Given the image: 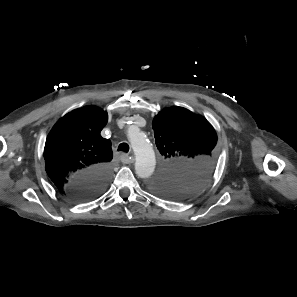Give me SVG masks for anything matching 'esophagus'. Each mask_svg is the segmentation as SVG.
<instances>
[{"mask_svg": "<svg viewBox=\"0 0 297 297\" xmlns=\"http://www.w3.org/2000/svg\"><path fill=\"white\" fill-rule=\"evenodd\" d=\"M120 159L125 164H129L134 161V159L131 156H129L128 154H121Z\"/></svg>", "mask_w": 297, "mask_h": 297, "instance_id": "34e87169", "label": "esophagus"}]
</instances>
